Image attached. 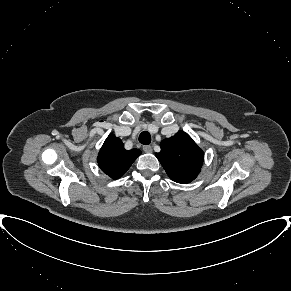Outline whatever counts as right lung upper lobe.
Returning <instances> with one entry per match:
<instances>
[{
	"instance_id": "obj_1",
	"label": "right lung upper lobe",
	"mask_w": 291,
	"mask_h": 291,
	"mask_svg": "<svg viewBox=\"0 0 291 291\" xmlns=\"http://www.w3.org/2000/svg\"><path fill=\"white\" fill-rule=\"evenodd\" d=\"M141 154L138 149L125 150L120 138L110 134L98 155L100 169L112 179H118L130 168Z\"/></svg>"
}]
</instances>
